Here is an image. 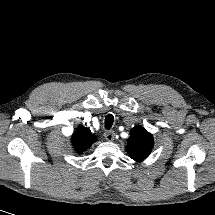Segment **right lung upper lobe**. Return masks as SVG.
<instances>
[{
	"instance_id": "obj_1",
	"label": "right lung upper lobe",
	"mask_w": 215,
	"mask_h": 215,
	"mask_svg": "<svg viewBox=\"0 0 215 215\" xmlns=\"http://www.w3.org/2000/svg\"><path fill=\"white\" fill-rule=\"evenodd\" d=\"M71 139L74 148L78 152L88 149L97 140L96 136L84 126H78Z\"/></svg>"
}]
</instances>
